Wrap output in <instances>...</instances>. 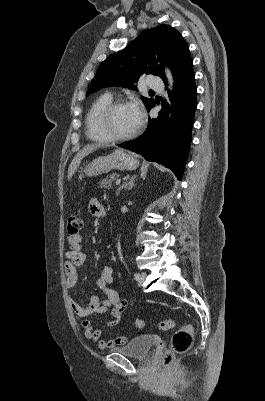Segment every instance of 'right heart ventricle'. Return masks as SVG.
I'll list each match as a JSON object with an SVG mask.
<instances>
[{"label":"right heart ventricle","instance_id":"right-heart-ventricle-1","mask_svg":"<svg viewBox=\"0 0 265 401\" xmlns=\"http://www.w3.org/2000/svg\"><path fill=\"white\" fill-rule=\"evenodd\" d=\"M112 101V95L110 93H104L97 97L90 105L86 117V133L88 137L94 141L104 142V137L98 132L96 127V119L99 112Z\"/></svg>","mask_w":265,"mask_h":401}]
</instances>
